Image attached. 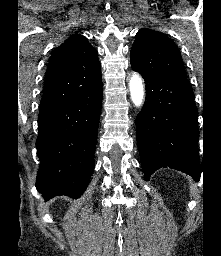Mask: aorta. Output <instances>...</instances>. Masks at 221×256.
Segmentation results:
<instances>
[{"instance_id":"aorta-1","label":"aorta","mask_w":221,"mask_h":256,"mask_svg":"<svg viewBox=\"0 0 221 256\" xmlns=\"http://www.w3.org/2000/svg\"><path fill=\"white\" fill-rule=\"evenodd\" d=\"M129 91L131 101L136 107H139L143 103L144 99V85L142 78L139 74L133 73L129 80Z\"/></svg>"}]
</instances>
